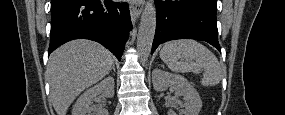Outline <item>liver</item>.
<instances>
[{
	"label": "liver",
	"instance_id": "liver-1",
	"mask_svg": "<svg viewBox=\"0 0 285 115\" xmlns=\"http://www.w3.org/2000/svg\"><path fill=\"white\" fill-rule=\"evenodd\" d=\"M111 53L90 40H74L56 49L49 58L50 97L57 115H66L74 99L111 70Z\"/></svg>",
	"mask_w": 285,
	"mask_h": 115
}]
</instances>
